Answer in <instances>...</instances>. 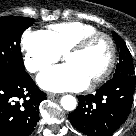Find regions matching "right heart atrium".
Returning a JSON list of instances; mask_svg holds the SVG:
<instances>
[{
    "label": "right heart atrium",
    "instance_id": "obj_1",
    "mask_svg": "<svg viewBox=\"0 0 136 136\" xmlns=\"http://www.w3.org/2000/svg\"><path fill=\"white\" fill-rule=\"evenodd\" d=\"M25 68L36 73L47 68L60 58V53L44 31L26 30L21 38Z\"/></svg>",
    "mask_w": 136,
    "mask_h": 136
}]
</instances>
